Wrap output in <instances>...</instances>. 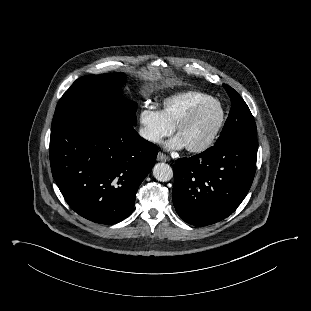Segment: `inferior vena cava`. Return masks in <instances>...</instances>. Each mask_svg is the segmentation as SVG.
<instances>
[{
    "mask_svg": "<svg viewBox=\"0 0 311 311\" xmlns=\"http://www.w3.org/2000/svg\"><path fill=\"white\" fill-rule=\"evenodd\" d=\"M139 135L151 142H158L160 140V137L156 134H154L151 130H149L148 128H140L139 130Z\"/></svg>",
    "mask_w": 311,
    "mask_h": 311,
    "instance_id": "602c4592",
    "label": "inferior vena cava"
}]
</instances>
